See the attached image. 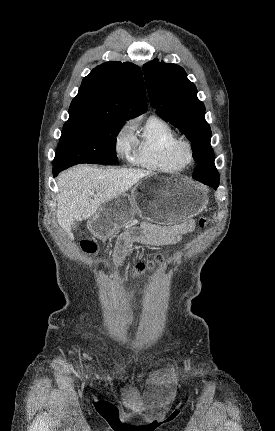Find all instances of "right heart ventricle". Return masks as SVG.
<instances>
[{"mask_svg": "<svg viewBox=\"0 0 275 431\" xmlns=\"http://www.w3.org/2000/svg\"><path fill=\"white\" fill-rule=\"evenodd\" d=\"M180 137L164 119L153 115L144 124L139 137L134 162L144 168L173 173L184 168L185 163L177 151Z\"/></svg>", "mask_w": 275, "mask_h": 431, "instance_id": "e07e8e85", "label": "right heart ventricle"}]
</instances>
